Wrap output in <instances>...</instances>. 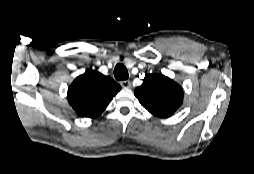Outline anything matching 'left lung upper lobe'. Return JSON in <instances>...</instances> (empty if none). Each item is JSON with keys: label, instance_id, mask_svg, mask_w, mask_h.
<instances>
[{"label": "left lung upper lobe", "instance_id": "5c2ea615", "mask_svg": "<svg viewBox=\"0 0 254 174\" xmlns=\"http://www.w3.org/2000/svg\"><path fill=\"white\" fill-rule=\"evenodd\" d=\"M135 96L151 114L166 118L181 106L183 89L162 74H148L143 84L135 89Z\"/></svg>", "mask_w": 254, "mask_h": 174}]
</instances>
